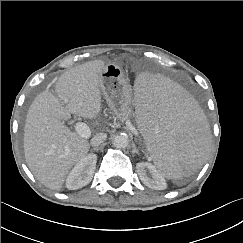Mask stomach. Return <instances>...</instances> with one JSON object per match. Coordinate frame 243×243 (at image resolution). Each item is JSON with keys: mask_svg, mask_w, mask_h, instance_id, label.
Listing matches in <instances>:
<instances>
[{"mask_svg": "<svg viewBox=\"0 0 243 243\" xmlns=\"http://www.w3.org/2000/svg\"><path fill=\"white\" fill-rule=\"evenodd\" d=\"M100 88L114 115L125 121L133 115L131 107V86L122 69L115 64H107L101 72Z\"/></svg>", "mask_w": 243, "mask_h": 243, "instance_id": "obj_1", "label": "stomach"}]
</instances>
